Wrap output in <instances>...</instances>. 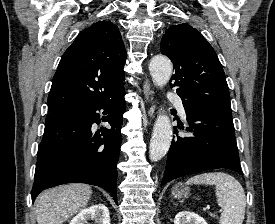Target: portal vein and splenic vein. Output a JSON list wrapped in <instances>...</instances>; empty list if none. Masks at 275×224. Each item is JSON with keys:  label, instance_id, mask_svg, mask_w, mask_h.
Returning a JSON list of instances; mask_svg holds the SVG:
<instances>
[{"label": "portal vein and splenic vein", "instance_id": "portal-vein-and-splenic-vein-1", "mask_svg": "<svg viewBox=\"0 0 275 224\" xmlns=\"http://www.w3.org/2000/svg\"><path fill=\"white\" fill-rule=\"evenodd\" d=\"M205 209L209 210V209H210V207H209V206H206V208H205Z\"/></svg>", "mask_w": 275, "mask_h": 224}]
</instances>
